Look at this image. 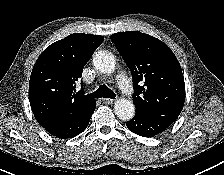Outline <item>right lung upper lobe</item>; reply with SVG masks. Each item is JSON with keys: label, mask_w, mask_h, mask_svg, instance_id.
Returning <instances> with one entry per match:
<instances>
[{"label": "right lung upper lobe", "mask_w": 224, "mask_h": 175, "mask_svg": "<svg viewBox=\"0 0 224 175\" xmlns=\"http://www.w3.org/2000/svg\"><path fill=\"white\" fill-rule=\"evenodd\" d=\"M103 40L100 35L75 33L51 44L39 56L30 77L29 100L34 117L43 128L96 104L84 95L83 89L77 91L76 84Z\"/></svg>", "instance_id": "cb5924a9"}]
</instances>
